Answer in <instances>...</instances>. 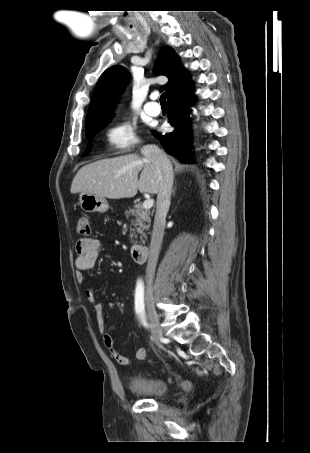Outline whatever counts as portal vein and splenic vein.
Listing matches in <instances>:
<instances>
[{"label": "portal vein and splenic vein", "instance_id": "obj_1", "mask_svg": "<svg viewBox=\"0 0 310 453\" xmlns=\"http://www.w3.org/2000/svg\"><path fill=\"white\" fill-rule=\"evenodd\" d=\"M153 203H154V201L152 199H147L143 203V208L145 210H149V209H151L153 207Z\"/></svg>", "mask_w": 310, "mask_h": 453}]
</instances>
